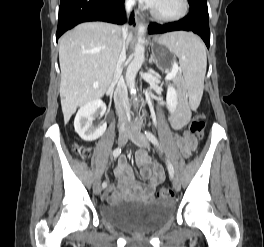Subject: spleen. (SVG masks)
Here are the masks:
<instances>
[{
    "mask_svg": "<svg viewBox=\"0 0 264 247\" xmlns=\"http://www.w3.org/2000/svg\"><path fill=\"white\" fill-rule=\"evenodd\" d=\"M161 39L162 43L179 58L190 98L199 102L203 94L207 67L204 44L198 36L183 31L165 35Z\"/></svg>",
    "mask_w": 264,
    "mask_h": 247,
    "instance_id": "spleen-1",
    "label": "spleen"
}]
</instances>
